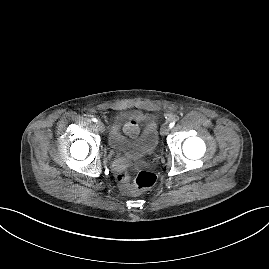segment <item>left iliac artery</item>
<instances>
[{"mask_svg": "<svg viewBox=\"0 0 269 269\" xmlns=\"http://www.w3.org/2000/svg\"><path fill=\"white\" fill-rule=\"evenodd\" d=\"M174 125H175V121H172V122L169 124V128L171 129Z\"/></svg>", "mask_w": 269, "mask_h": 269, "instance_id": "left-iliac-artery-1", "label": "left iliac artery"}]
</instances>
